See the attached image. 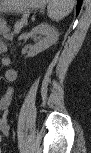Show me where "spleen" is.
Segmentation results:
<instances>
[{"label": "spleen", "instance_id": "spleen-1", "mask_svg": "<svg viewBox=\"0 0 91 153\" xmlns=\"http://www.w3.org/2000/svg\"><path fill=\"white\" fill-rule=\"evenodd\" d=\"M74 6L72 0H49L48 16L53 20H60L71 12Z\"/></svg>", "mask_w": 91, "mask_h": 153}]
</instances>
